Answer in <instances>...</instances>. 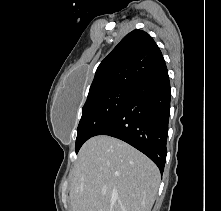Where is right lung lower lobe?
Masks as SVG:
<instances>
[{
  "mask_svg": "<svg viewBox=\"0 0 221 211\" xmlns=\"http://www.w3.org/2000/svg\"><path fill=\"white\" fill-rule=\"evenodd\" d=\"M168 73L135 86L122 108L96 135L127 142L148 156L163 173L170 116Z\"/></svg>",
  "mask_w": 221,
  "mask_h": 211,
  "instance_id": "right-lung-lower-lobe-1",
  "label": "right lung lower lobe"
}]
</instances>
